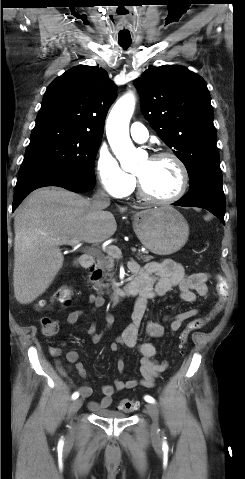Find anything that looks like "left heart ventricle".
<instances>
[{
    "mask_svg": "<svg viewBox=\"0 0 245 479\" xmlns=\"http://www.w3.org/2000/svg\"><path fill=\"white\" fill-rule=\"evenodd\" d=\"M136 174L141 177L146 191L156 198H168L180 185V171L170 158L145 159Z\"/></svg>",
    "mask_w": 245,
    "mask_h": 479,
    "instance_id": "1",
    "label": "left heart ventricle"
}]
</instances>
